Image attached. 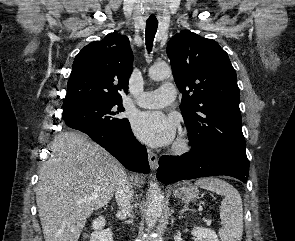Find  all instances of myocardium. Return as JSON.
Masks as SVG:
<instances>
[{"label":"myocardium","mask_w":295,"mask_h":241,"mask_svg":"<svg viewBox=\"0 0 295 241\" xmlns=\"http://www.w3.org/2000/svg\"><path fill=\"white\" fill-rule=\"evenodd\" d=\"M192 149V142L189 138L187 137H182L177 140V142L174 144L172 148V152L175 155H185L189 153Z\"/></svg>","instance_id":"myocardium-1"}]
</instances>
